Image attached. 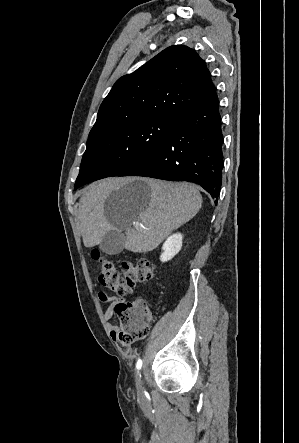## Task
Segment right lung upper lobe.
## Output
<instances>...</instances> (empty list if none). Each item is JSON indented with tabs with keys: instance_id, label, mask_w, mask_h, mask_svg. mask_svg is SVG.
<instances>
[{
	"instance_id": "right-lung-upper-lobe-1",
	"label": "right lung upper lobe",
	"mask_w": 299,
	"mask_h": 443,
	"mask_svg": "<svg viewBox=\"0 0 299 443\" xmlns=\"http://www.w3.org/2000/svg\"><path fill=\"white\" fill-rule=\"evenodd\" d=\"M215 91L205 62L191 48H166L118 79L102 102L89 137L132 121L177 117Z\"/></svg>"
}]
</instances>
